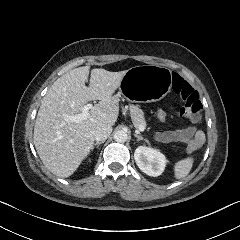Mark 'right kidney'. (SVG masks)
Listing matches in <instances>:
<instances>
[{"label": "right kidney", "mask_w": 240, "mask_h": 240, "mask_svg": "<svg viewBox=\"0 0 240 240\" xmlns=\"http://www.w3.org/2000/svg\"><path fill=\"white\" fill-rule=\"evenodd\" d=\"M93 158L92 157H88L87 159H85V164H90L92 162Z\"/></svg>", "instance_id": "1"}]
</instances>
